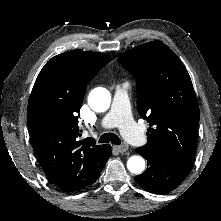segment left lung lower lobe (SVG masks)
I'll use <instances>...</instances> for the list:
<instances>
[{"mask_svg":"<svg viewBox=\"0 0 221 221\" xmlns=\"http://www.w3.org/2000/svg\"><path fill=\"white\" fill-rule=\"evenodd\" d=\"M136 152L147 159L146 171L135 177V181L145 190L165 194L177 188L189 174L193 161L162 154H148L141 148Z\"/></svg>","mask_w":221,"mask_h":221,"instance_id":"left-lung-lower-lobe-1","label":"left lung lower lobe"}]
</instances>
